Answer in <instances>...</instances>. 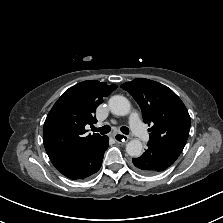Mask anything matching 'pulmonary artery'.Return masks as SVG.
<instances>
[{
	"label": "pulmonary artery",
	"instance_id": "1",
	"mask_svg": "<svg viewBox=\"0 0 223 223\" xmlns=\"http://www.w3.org/2000/svg\"><path fill=\"white\" fill-rule=\"evenodd\" d=\"M129 123H130V127H131L132 131L139 139L146 140L148 138V134H147L146 130L144 129V127L139 119V116L136 112H133L130 115Z\"/></svg>",
	"mask_w": 223,
	"mask_h": 223
}]
</instances>
